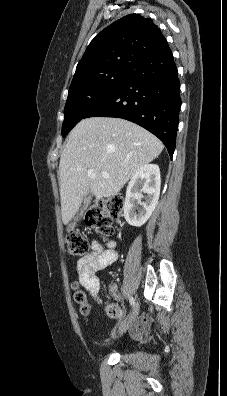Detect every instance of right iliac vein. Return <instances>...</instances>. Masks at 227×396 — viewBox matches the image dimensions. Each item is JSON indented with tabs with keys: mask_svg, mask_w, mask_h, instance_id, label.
I'll return each instance as SVG.
<instances>
[{
	"mask_svg": "<svg viewBox=\"0 0 227 396\" xmlns=\"http://www.w3.org/2000/svg\"><path fill=\"white\" fill-rule=\"evenodd\" d=\"M138 312H139V303L137 302L128 319L121 325V328L119 330L120 333H124L128 330V328L131 326L133 321L136 319Z\"/></svg>",
	"mask_w": 227,
	"mask_h": 396,
	"instance_id": "obj_1",
	"label": "right iliac vein"
}]
</instances>
